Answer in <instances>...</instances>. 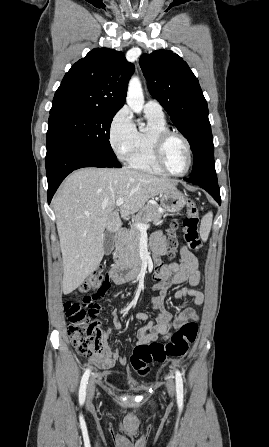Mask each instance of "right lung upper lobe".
I'll return each instance as SVG.
<instances>
[{"label":"right lung upper lobe","instance_id":"right-lung-upper-lobe-1","mask_svg":"<svg viewBox=\"0 0 269 447\" xmlns=\"http://www.w3.org/2000/svg\"><path fill=\"white\" fill-rule=\"evenodd\" d=\"M134 66L122 52L98 48L76 62L57 89L50 113L61 111L117 112L125 103Z\"/></svg>","mask_w":269,"mask_h":447}]
</instances>
